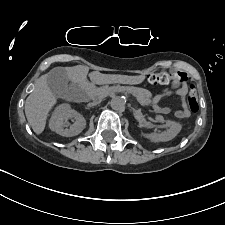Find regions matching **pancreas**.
Wrapping results in <instances>:
<instances>
[{"instance_id": "pancreas-1", "label": "pancreas", "mask_w": 225, "mask_h": 225, "mask_svg": "<svg viewBox=\"0 0 225 225\" xmlns=\"http://www.w3.org/2000/svg\"><path fill=\"white\" fill-rule=\"evenodd\" d=\"M116 91H124L136 96L138 102L142 106H149L152 103V93L146 89L133 87V86H105L96 88L94 93L99 96H106Z\"/></svg>"}]
</instances>
